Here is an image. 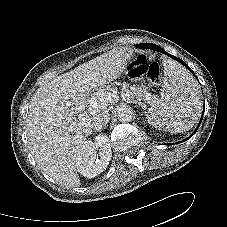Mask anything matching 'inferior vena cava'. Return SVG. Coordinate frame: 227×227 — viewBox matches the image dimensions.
<instances>
[{
    "instance_id": "1",
    "label": "inferior vena cava",
    "mask_w": 227,
    "mask_h": 227,
    "mask_svg": "<svg viewBox=\"0 0 227 227\" xmlns=\"http://www.w3.org/2000/svg\"><path fill=\"white\" fill-rule=\"evenodd\" d=\"M109 116L106 113H100L96 115L91 123L94 130L100 131L109 122Z\"/></svg>"
}]
</instances>
